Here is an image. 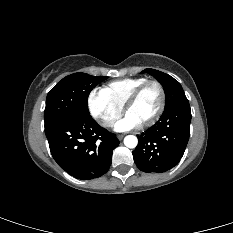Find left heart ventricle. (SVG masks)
<instances>
[{
	"label": "left heart ventricle",
	"instance_id": "obj_1",
	"mask_svg": "<svg viewBox=\"0 0 233 233\" xmlns=\"http://www.w3.org/2000/svg\"><path fill=\"white\" fill-rule=\"evenodd\" d=\"M159 104V89L155 85H150L141 93L127 113L132 115L141 124L151 118L157 111Z\"/></svg>",
	"mask_w": 233,
	"mask_h": 233
}]
</instances>
